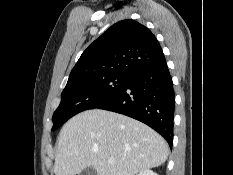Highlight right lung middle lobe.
Listing matches in <instances>:
<instances>
[{"mask_svg": "<svg viewBox=\"0 0 233 175\" xmlns=\"http://www.w3.org/2000/svg\"><path fill=\"white\" fill-rule=\"evenodd\" d=\"M129 78L128 74L107 73L67 83L61 94V103L53 114L52 130L74 115L97 108L112 99Z\"/></svg>", "mask_w": 233, "mask_h": 175, "instance_id": "right-lung-middle-lobe-1", "label": "right lung middle lobe"}]
</instances>
